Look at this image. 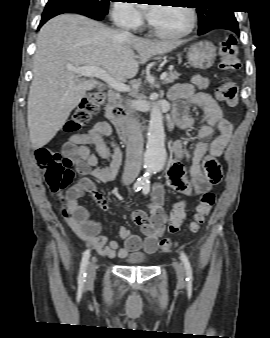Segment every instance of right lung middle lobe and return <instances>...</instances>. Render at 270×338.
Masks as SVG:
<instances>
[{"instance_id":"obj_1","label":"right lung middle lobe","mask_w":270,"mask_h":338,"mask_svg":"<svg viewBox=\"0 0 270 338\" xmlns=\"http://www.w3.org/2000/svg\"><path fill=\"white\" fill-rule=\"evenodd\" d=\"M109 1L112 0H49L45 9H85L102 14L108 13Z\"/></svg>"}]
</instances>
